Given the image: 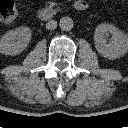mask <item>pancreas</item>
<instances>
[{
    "mask_svg": "<svg viewBox=\"0 0 128 128\" xmlns=\"http://www.w3.org/2000/svg\"><path fill=\"white\" fill-rule=\"evenodd\" d=\"M55 5H57V4L54 3V2H49V7H50V8L54 7Z\"/></svg>",
    "mask_w": 128,
    "mask_h": 128,
    "instance_id": "obj_1",
    "label": "pancreas"
}]
</instances>
